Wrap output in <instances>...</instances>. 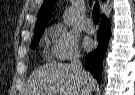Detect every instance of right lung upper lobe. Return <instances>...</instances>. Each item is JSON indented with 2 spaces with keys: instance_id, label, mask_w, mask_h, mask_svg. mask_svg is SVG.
<instances>
[{
  "instance_id": "cb5924a9",
  "label": "right lung upper lobe",
  "mask_w": 135,
  "mask_h": 95,
  "mask_svg": "<svg viewBox=\"0 0 135 95\" xmlns=\"http://www.w3.org/2000/svg\"><path fill=\"white\" fill-rule=\"evenodd\" d=\"M55 3L56 0H45L37 18L35 33L44 31L47 21L54 9Z\"/></svg>"
}]
</instances>
